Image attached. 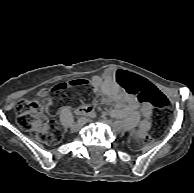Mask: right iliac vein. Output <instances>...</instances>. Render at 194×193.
Instances as JSON below:
<instances>
[{
  "label": "right iliac vein",
  "mask_w": 194,
  "mask_h": 193,
  "mask_svg": "<svg viewBox=\"0 0 194 193\" xmlns=\"http://www.w3.org/2000/svg\"><path fill=\"white\" fill-rule=\"evenodd\" d=\"M85 121H81V122H77L75 123L73 126H72V129L75 130V131H79L82 126L84 125Z\"/></svg>",
  "instance_id": "1"
}]
</instances>
